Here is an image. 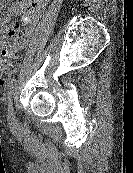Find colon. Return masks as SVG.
<instances>
[{"instance_id": "colon-1", "label": "colon", "mask_w": 133, "mask_h": 173, "mask_svg": "<svg viewBox=\"0 0 133 173\" xmlns=\"http://www.w3.org/2000/svg\"><path fill=\"white\" fill-rule=\"evenodd\" d=\"M23 42L22 36H14L9 47L0 49V84H4L16 67L18 50Z\"/></svg>"}]
</instances>
